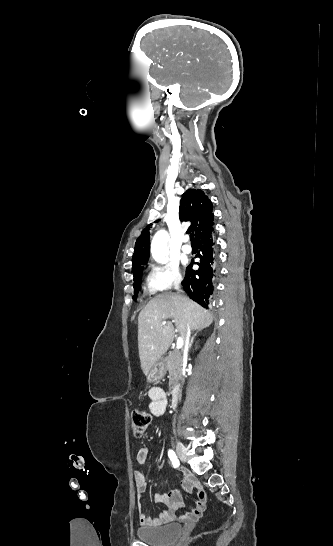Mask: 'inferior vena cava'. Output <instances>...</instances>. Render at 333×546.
<instances>
[{"label": "inferior vena cava", "instance_id": "602c4592", "mask_svg": "<svg viewBox=\"0 0 333 546\" xmlns=\"http://www.w3.org/2000/svg\"><path fill=\"white\" fill-rule=\"evenodd\" d=\"M177 290H179V286L176 285L175 287ZM190 336H191V329L190 327L188 326L187 327V332H186V335H185V351L188 350L189 348V345H190Z\"/></svg>", "mask_w": 333, "mask_h": 546}]
</instances>
